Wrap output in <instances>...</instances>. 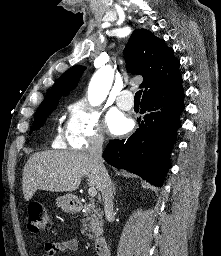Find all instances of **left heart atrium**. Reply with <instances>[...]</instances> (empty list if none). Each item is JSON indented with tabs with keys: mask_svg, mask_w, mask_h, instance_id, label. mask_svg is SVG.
<instances>
[{
	"mask_svg": "<svg viewBox=\"0 0 221 256\" xmlns=\"http://www.w3.org/2000/svg\"><path fill=\"white\" fill-rule=\"evenodd\" d=\"M106 126L111 134L118 135L128 131L130 121L119 111L111 110L106 116Z\"/></svg>",
	"mask_w": 221,
	"mask_h": 256,
	"instance_id": "obj_1",
	"label": "left heart atrium"
}]
</instances>
